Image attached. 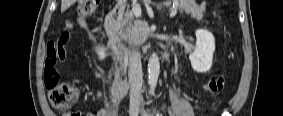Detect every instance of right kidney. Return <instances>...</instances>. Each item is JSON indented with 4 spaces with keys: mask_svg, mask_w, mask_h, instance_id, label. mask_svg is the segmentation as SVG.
<instances>
[{
    "mask_svg": "<svg viewBox=\"0 0 283 116\" xmlns=\"http://www.w3.org/2000/svg\"><path fill=\"white\" fill-rule=\"evenodd\" d=\"M106 51H107V48H105L103 46H98L96 48V53H97L100 60H104L105 57L108 55Z\"/></svg>",
    "mask_w": 283,
    "mask_h": 116,
    "instance_id": "1",
    "label": "right kidney"
}]
</instances>
